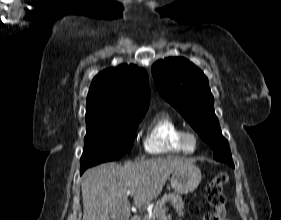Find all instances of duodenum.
Returning <instances> with one entry per match:
<instances>
[{"instance_id":"duodenum-1","label":"duodenum","mask_w":281,"mask_h":220,"mask_svg":"<svg viewBox=\"0 0 281 220\" xmlns=\"http://www.w3.org/2000/svg\"><path fill=\"white\" fill-rule=\"evenodd\" d=\"M130 220H139L138 217H131Z\"/></svg>"}]
</instances>
